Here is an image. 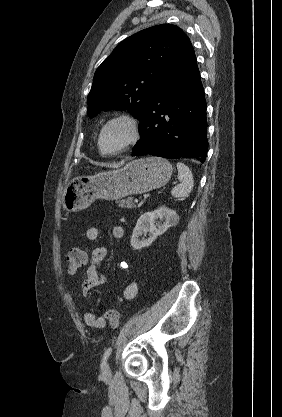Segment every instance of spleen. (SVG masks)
<instances>
[{"mask_svg":"<svg viewBox=\"0 0 282 417\" xmlns=\"http://www.w3.org/2000/svg\"><path fill=\"white\" fill-rule=\"evenodd\" d=\"M176 166L178 168V178L181 182L172 188L171 194L176 198H183L191 192L194 180L189 166H186L184 162H177Z\"/></svg>","mask_w":282,"mask_h":417,"instance_id":"1","label":"spleen"}]
</instances>
